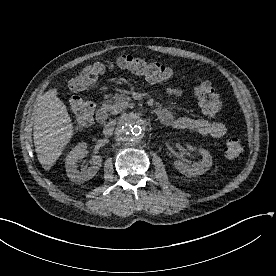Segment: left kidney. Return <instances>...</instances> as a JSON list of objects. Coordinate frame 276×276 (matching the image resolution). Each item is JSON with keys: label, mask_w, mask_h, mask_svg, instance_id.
<instances>
[{"label": "left kidney", "mask_w": 276, "mask_h": 276, "mask_svg": "<svg viewBox=\"0 0 276 276\" xmlns=\"http://www.w3.org/2000/svg\"><path fill=\"white\" fill-rule=\"evenodd\" d=\"M198 151L202 157L200 161L195 162L192 165H188L183 161L177 160L174 162L175 168L187 177L204 174L212 167V156L203 148H200Z\"/></svg>", "instance_id": "left-kidney-1"}]
</instances>
